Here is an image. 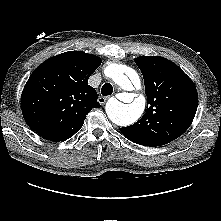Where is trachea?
<instances>
[{
	"mask_svg": "<svg viewBox=\"0 0 221 221\" xmlns=\"http://www.w3.org/2000/svg\"><path fill=\"white\" fill-rule=\"evenodd\" d=\"M101 93L103 96L111 95L113 93V86L110 83H105L102 86Z\"/></svg>",
	"mask_w": 221,
	"mask_h": 221,
	"instance_id": "3493384b",
	"label": "trachea"
}]
</instances>
